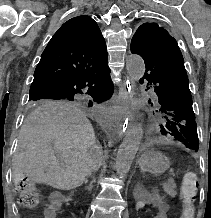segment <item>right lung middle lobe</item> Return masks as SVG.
Returning <instances> with one entry per match:
<instances>
[{"mask_svg":"<svg viewBox=\"0 0 211 218\" xmlns=\"http://www.w3.org/2000/svg\"><path fill=\"white\" fill-rule=\"evenodd\" d=\"M107 99L93 97L90 101L83 100L79 97H64V96H56V97H46L42 99H34L29 100L28 107L29 109H48V108H57L71 105H78L82 107H92L93 103H102Z\"/></svg>","mask_w":211,"mask_h":218,"instance_id":"right-lung-middle-lobe-1","label":"right lung middle lobe"}]
</instances>
